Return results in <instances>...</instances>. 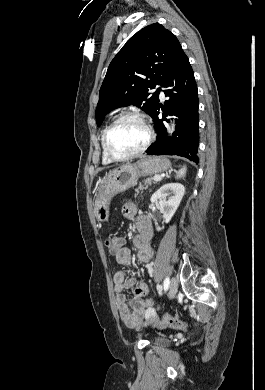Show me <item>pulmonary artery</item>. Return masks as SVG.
Wrapping results in <instances>:
<instances>
[{
    "label": "pulmonary artery",
    "instance_id": "e3ab8cb5",
    "mask_svg": "<svg viewBox=\"0 0 265 390\" xmlns=\"http://www.w3.org/2000/svg\"><path fill=\"white\" fill-rule=\"evenodd\" d=\"M157 88H160V86H157ZM160 95H161V98H164V94L162 91H161Z\"/></svg>",
    "mask_w": 265,
    "mask_h": 390
}]
</instances>
